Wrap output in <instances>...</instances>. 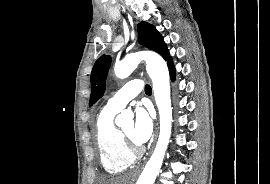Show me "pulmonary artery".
I'll use <instances>...</instances> for the list:
<instances>
[{"label": "pulmonary artery", "instance_id": "e3ab8cb5", "mask_svg": "<svg viewBox=\"0 0 270 184\" xmlns=\"http://www.w3.org/2000/svg\"><path fill=\"white\" fill-rule=\"evenodd\" d=\"M143 90V82L134 79L126 83L113 97H111L106 107L120 111L126 104L135 98Z\"/></svg>", "mask_w": 270, "mask_h": 184}]
</instances>
